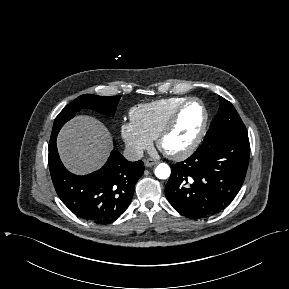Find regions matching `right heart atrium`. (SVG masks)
Listing matches in <instances>:
<instances>
[{"instance_id":"right-heart-atrium-1","label":"right heart atrium","mask_w":289,"mask_h":289,"mask_svg":"<svg viewBox=\"0 0 289 289\" xmlns=\"http://www.w3.org/2000/svg\"><path fill=\"white\" fill-rule=\"evenodd\" d=\"M121 137L134 155H141L152 145V138L143 132L133 121L123 122L120 126Z\"/></svg>"}]
</instances>
